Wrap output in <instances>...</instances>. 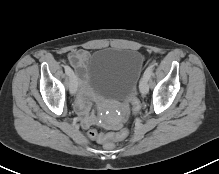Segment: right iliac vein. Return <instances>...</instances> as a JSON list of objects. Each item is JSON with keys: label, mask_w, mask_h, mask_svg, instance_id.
I'll return each mask as SVG.
<instances>
[{"label": "right iliac vein", "mask_w": 219, "mask_h": 174, "mask_svg": "<svg viewBox=\"0 0 219 174\" xmlns=\"http://www.w3.org/2000/svg\"><path fill=\"white\" fill-rule=\"evenodd\" d=\"M78 85V78L75 73L72 72L69 78V91L73 95L76 93Z\"/></svg>", "instance_id": "right-iliac-vein-1"}]
</instances>
